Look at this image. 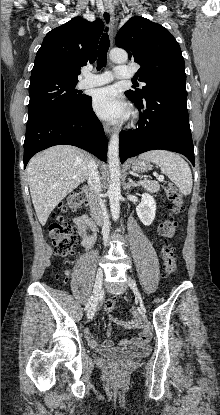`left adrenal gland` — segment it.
<instances>
[{
    "mask_svg": "<svg viewBox=\"0 0 220 415\" xmlns=\"http://www.w3.org/2000/svg\"><path fill=\"white\" fill-rule=\"evenodd\" d=\"M131 187H137V184L135 182H133V180L131 178H129L128 183L126 185V189L130 190Z\"/></svg>",
    "mask_w": 220,
    "mask_h": 415,
    "instance_id": "a2214340",
    "label": "left adrenal gland"
}]
</instances>
